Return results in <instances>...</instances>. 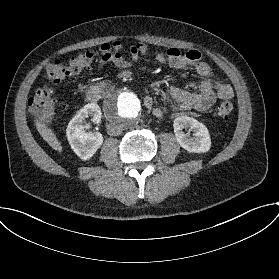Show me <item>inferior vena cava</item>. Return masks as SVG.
<instances>
[{
	"label": "inferior vena cava",
	"mask_w": 279,
	"mask_h": 279,
	"mask_svg": "<svg viewBox=\"0 0 279 279\" xmlns=\"http://www.w3.org/2000/svg\"><path fill=\"white\" fill-rule=\"evenodd\" d=\"M107 132L110 136H118L123 133V128L115 123L107 125Z\"/></svg>",
	"instance_id": "602c4592"
}]
</instances>
